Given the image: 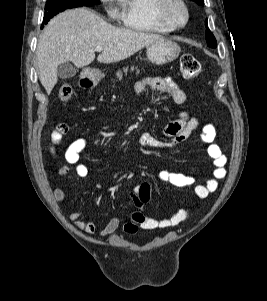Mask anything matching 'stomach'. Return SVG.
<instances>
[{"label":"stomach","instance_id":"1","mask_svg":"<svg viewBox=\"0 0 267 301\" xmlns=\"http://www.w3.org/2000/svg\"><path fill=\"white\" fill-rule=\"evenodd\" d=\"M181 51L179 45L168 39H159L147 45V58L151 63L162 65L177 59ZM90 80L97 84L104 78V74L99 70H91L88 72Z\"/></svg>","mask_w":267,"mask_h":301}]
</instances>
